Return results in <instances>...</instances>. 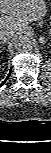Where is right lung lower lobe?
Wrapping results in <instances>:
<instances>
[{"label":"right lung lower lobe","mask_w":51,"mask_h":153,"mask_svg":"<svg viewBox=\"0 0 51 153\" xmlns=\"http://www.w3.org/2000/svg\"><path fill=\"white\" fill-rule=\"evenodd\" d=\"M10 74H11V71L9 72V74H8V76H7V78L0 84V86H2L5 82H6V80L8 79V77L10 76Z\"/></svg>","instance_id":"right-lung-lower-lobe-1"}]
</instances>
